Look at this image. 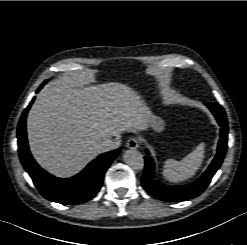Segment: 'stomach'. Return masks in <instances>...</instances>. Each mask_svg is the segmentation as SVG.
Here are the masks:
<instances>
[{
    "mask_svg": "<svg viewBox=\"0 0 247 245\" xmlns=\"http://www.w3.org/2000/svg\"><path fill=\"white\" fill-rule=\"evenodd\" d=\"M151 124L153 130L157 133H161L164 130L165 123L160 117H153Z\"/></svg>",
    "mask_w": 247,
    "mask_h": 245,
    "instance_id": "0dacf381",
    "label": "stomach"
}]
</instances>
